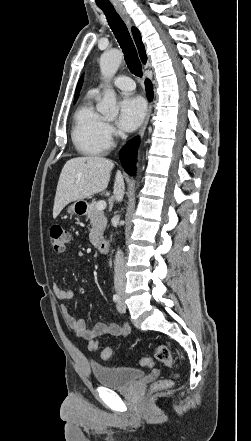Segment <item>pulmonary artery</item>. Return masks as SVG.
<instances>
[{
	"label": "pulmonary artery",
	"mask_w": 251,
	"mask_h": 441,
	"mask_svg": "<svg viewBox=\"0 0 251 441\" xmlns=\"http://www.w3.org/2000/svg\"><path fill=\"white\" fill-rule=\"evenodd\" d=\"M113 84L115 87L122 91H132L135 88L133 80L127 76H119L114 79ZM103 86L95 88L93 91L98 92Z\"/></svg>",
	"instance_id": "obj_1"
}]
</instances>
